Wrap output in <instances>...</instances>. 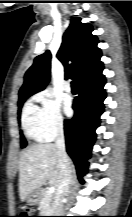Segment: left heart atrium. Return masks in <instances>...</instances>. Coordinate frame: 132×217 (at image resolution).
<instances>
[{
	"label": "left heart atrium",
	"instance_id": "39dd6f15",
	"mask_svg": "<svg viewBox=\"0 0 132 217\" xmlns=\"http://www.w3.org/2000/svg\"><path fill=\"white\" fill-rule=\"evenodd\" d=\"M64 110L66 113H70L71 111V100L69 98L64 100Z\"/></svg>",
	"mask_w": 132,
	"mask_h": 217
}]
</instances>
